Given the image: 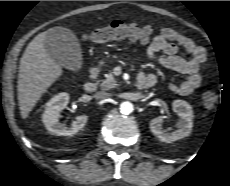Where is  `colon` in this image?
I'll return each mask as SVG.
<instances>
[{"mask_svg":"<svg viewBox=\"0 0 230 186\" xmlns=\"http://www.w3.org/2000/svg\"><path fill=\"white\" fill-rule=\"evenodd\" d=\"M154 29L150 26H138L132 23L114 21L104 28L95 29L85 34L84 39L92 43H105L114 40L131 39L142 43H149L152 39ZM202 101L205 107L213 108L218 102L216 88L208 84L202 94Z\"/></svg>","mask_w":230,"mask_h":186,"instance_id":"5ec220e1","label":"colon"}]
</instances>
